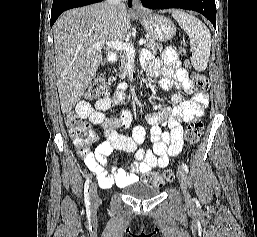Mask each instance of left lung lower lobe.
<instances>
[{"label": "left lung lower lobe", "mask_w": 257, "mask_h": 237, "mask_svg": "<svg viewBox=\"0 0 257 237\" xmlns=\"http://www.w3.org/2000/svg\"><path fill=\"white\" fill-rule=\"evenodd\" d=\"M150 9L181 8L193 10L204 15L216 28L215 0H141Z\"/></svg>", "instance_id": "0a47b994"}]
</instances>
